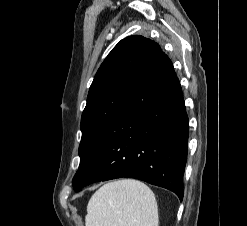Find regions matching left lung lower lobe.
Returning <instances> with one entry per match:
<instances>
[{
	"instance_id": "obj_1",
	"label": "left lung lower lobe",
	"mask_w": 247,
	"mask_h": 226,
	"mask_svg": "<svg viewBox=\"0 0 247 226\" xmlns=\"http://www.w3.org/2000/svg\"><path fill=\"white\" fill-rule=\"evenodd\" d=\"M188 134L181 86L161 52L92 149L74 189L130 177L169 189L182 200Z\"/></svg>"
}]
</instances>
